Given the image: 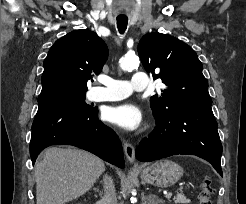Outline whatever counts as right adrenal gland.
<instances>
[{"instance_id":"2a0ac1e0","label":"right adrenal gland","mask_w":246,"mask_h":204,"mask_svg":"<svg viewBox=\"0 0 246 204\" xmlns=\"http://www.w3.org/2000/svg\"><path fill=\"white\" fill-rule=\"evenodd\" d=\"M94 190L98 193L100 197H102L103 192L98 187H95Z\"/></svg>"}]
</instances>
